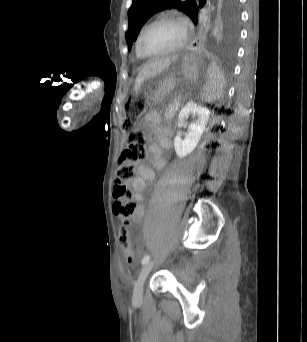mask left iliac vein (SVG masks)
<instances>
[{
    "label": "left iliac vein",
    "instance_id": "obj_1",
    "mask_svg": "<svg viewBox=\"0 0 307 342\" xmlns=\"http://www.w3.org/2000/svg\"><path fill=\"white\" fill-rule=\"evenodd\" d=\"M153 268V262L149 261L147 262L141 269L136 286H135V290H134V294H133V301L135 302H142L143 300V285L145 283V280L149 274V272L151 271V269Z\"/></svg>",
    "mask_w": 307,
    "mask_h": 342
}]
</instances>
